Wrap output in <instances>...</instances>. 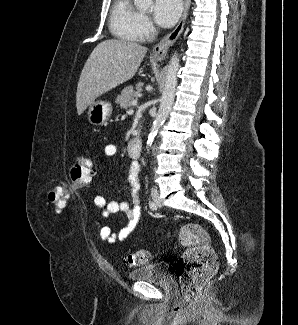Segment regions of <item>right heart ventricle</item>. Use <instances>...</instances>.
I'll return each mask as SVG.
<instances>
[{
	"mask_svg": "<svg viewBox=\"0 0 298 325\" xmlns=\"http://www.w3.org/2000/svg\"><path fill=\"white\" fill-rule=\"evenodd\" d=\"M140 12L131 0L114 3L110 12L109 28L112 37H121V41H133L132 31L139 27Z\"/></svg>",
	"mask_w": 298,
	"mask_h": 325,
	"instance_id": "1",
	"label": "right heart ventricle"
}]
</instances>
